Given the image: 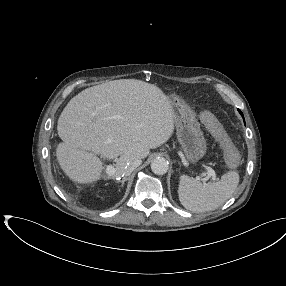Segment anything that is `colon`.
<instances>
[{
	"label": "colon",
	"instance_id": "obj_1",
	"mask_svg": "<svg viewBox=\"0 0 286 286\" xmlns=\"http://www.w3.org/2000/svg\"><path fill=\"white\" fill-rule=\"evenodd\" d=\"M201 120L207 130L222 146L228 167L235 168L239 162V155L221 123L212 113L208 111L202 112Z\"/></svg>",
	"mask_w": 286,
	"mask_h": 286
}]
</instances>
